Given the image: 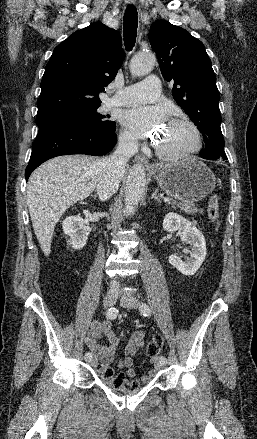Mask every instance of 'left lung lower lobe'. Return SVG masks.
I'll return each mask as SVG.
<instances>
[{"mask_svg":"<svg viewBox=\"0 0 257 439\" xmlns=\"http://www.w3.org/2000/svg\"><path fill=\"white\" fill-rule=\"evenodd\" d=\"M221 159H226V157H223V158H221ZM217 160V159H216Z\"/></svg>","mask_w":257,"mask_h":439,"instance_id":"left-lung-lower-lobe-1","label":"left lung lower lobe"}]
</instances>
